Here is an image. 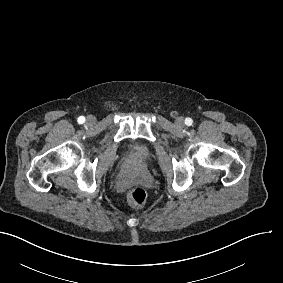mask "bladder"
I'll return each instance as SVG.
<instances>
[{
    "mask_svg": "<svg viewBox=\"0 0 283 283\" xmlns=\"http://www.w3.org/2000/svg\"><path fill=\"white\" fill-rule=\"evenodd\" d=\"M124 151L132 160H138L141 164H147L151 153V147L144 143H127Z\"/></svg>",
    "mask_w": 283,
    "mask_h": 283,
    "instance_id": "1",
    "label": "bladder"
}]
</instances>
